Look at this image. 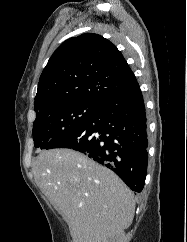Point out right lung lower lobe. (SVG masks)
I'll use <instances>...</instances> for the list:
<instances>
[{
  "instance_id": "98d812e1",
  "label": "right lung lower lobe",
  "mask_w": 187,
  "mask_h": 242,
  "mask_svg": "<svg viewBox=\"0 0 187 242\" xmlns=\"http://www.w3.org/2000/svg\"><path fill=\"white\" fill-rule=\"evenodd\" d=\"M147 125L140 87L114 97L87 121L47 149L69 148L114 171L133 191L146 178Z\"/></svg>"
}]
</instances>
